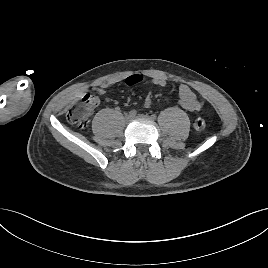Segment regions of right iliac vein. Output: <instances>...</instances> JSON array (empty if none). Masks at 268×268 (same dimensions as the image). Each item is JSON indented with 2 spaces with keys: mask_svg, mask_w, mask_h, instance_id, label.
<instances>
[{
  "mask_svg": "<svg viewBox=\"0 0 268 268\" xmlns=\"http://www.w3.org/2000/svg\"><path fill=\"white\" fill-rule=\"evenodd\" d=\"M133 118H134V116H131L130 114H128V115L125 116V120L127 122L131 121Z\"/></svg>",
  "mask_w": 268,
  "mask_h": 268,
  "instance_id": "63e3f726",
  "label": "right iliac vein"
}]
</instances>
